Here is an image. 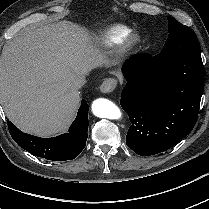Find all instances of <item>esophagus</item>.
<instances>
[{"mask_svg":"<svg viewBox=\"0 0 209 209\" xmlns=\"http://www.w3.org/2000/svg\"><path fill=\"white\" fill-rule=\"evenodd\" d=\"M117 86V80L115 78H106L101 86L100 91L104 94L111 93Z\"/></svg>","mask_w":209,"mask_h":209,"instance_id":"obj_1","label":"esophagus"}]
</instances>
